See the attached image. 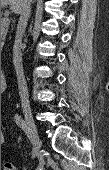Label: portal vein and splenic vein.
Wrapping results in <instances>:
<instances>
[{
    "label": "portal vein and splenic vein",
    "mask_w": 109,
    "mask_h": 170,
    "mask_svg": "<svg viewBox=\"0 0 109 170\" xmlns=\"http://www.w3.org/2000/svg\"><path fill=\"white\" fill-rule=\"evenodd\" d=\"M10 24V19L8 17H4L1 19V28H6Z\"/></svg>",
    "instance_id": "1"
}]
</instances>
